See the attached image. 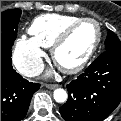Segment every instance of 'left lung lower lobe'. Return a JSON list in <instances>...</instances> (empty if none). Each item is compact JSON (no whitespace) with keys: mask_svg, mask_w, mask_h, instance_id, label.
Returning <instances> with one entry per match:
<instances>
[{"mask_svg":"<svg viewBox=\"0 0 121 121\" xmlns=\"http://www.w3.org/2000/svg\"><path fill=\"white\" fill-rule=\"evenodd\" d=\"M67 90L59 108L65 121H102L121 100V51L102 53Z\"/></svg>","mask_w":121,"mask_h":121,"instance_id":"left-lung-lower-lobe-1","label":"left lung lower lobe"}]
</instances>
